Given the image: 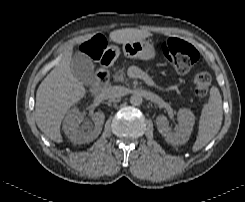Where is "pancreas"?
<instances>
[{
  "label": "pancreas",
  "mask_w": 245,
  "mask_h": 202,
  "mask_svg": "<svg viewBox=\"0 0 245 202\" xmlns=\"http://www.w3.org/2000/svg\"><path fill=\"white\" fill-rule=\"evenodd\" d=\"M124 70H125V67H122L115 73V75L113 76L115 81H125L126 80Z\"/></svg>",
  "instance_id": "cf45deb5"
}]
</instances>
